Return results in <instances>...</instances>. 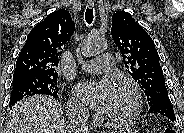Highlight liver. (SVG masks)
<instances>
[{
	"label": "liver",
	"instance_id": "6515ba94",
	"mask_svg": "<svg viewBox=\"0 0 184 133\" xmlns=\"http://www.w3.org/2000/svg\"><path fill=\"white\" fill-rule=\"evenodd\" d=\"M4 133H71L59 102L47 96H32L9 111Z\"/></svg>",
	"mask_w": 184,
	"mask_h": 133
}]
</instances>
